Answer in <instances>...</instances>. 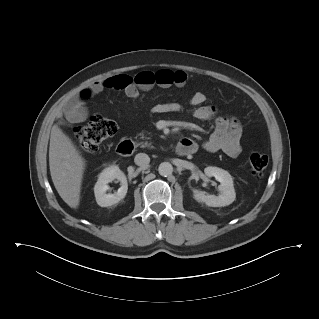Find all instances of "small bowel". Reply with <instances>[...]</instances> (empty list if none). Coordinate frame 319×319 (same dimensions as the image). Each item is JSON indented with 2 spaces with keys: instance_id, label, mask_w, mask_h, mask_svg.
<instances>
[{
  "instance_id": "small-bowel-1",
  "label": "small bowel",
  "mask_w": 319,
  "mask_h": 319,
  "mask_svg": "<svg viewBox=\"0 0 319 319\" xmlns=\"http://www.w3.org/2000/svg\"><path fill=\"white\" fill-rule=\"evenodd\" d=\"M186 72L167 69L157 72L144 71L134 79L127 75H112L98 82L84 87L78 96L67 105V123L83 122L88 117L86 101L106 90H122L129 98H137L139 90H148L154 85L167 88L172 85H184L187 82ZM207 97L202 92H196L190 99V104L195 107L193 115L199 120H214L215 128L211 136L203 143V148L208 152L223 151L230 157L241 154L242 127L239 121L231 116L220 114L214 106L205 105ZM182 106L179 103H164L154 106L157 114L179 112ZM197 149V144H196ZM195 149V151H196ZM194 151V152H195ZM193 152V153H194Z\"/></svg>"
}]
</instances>
